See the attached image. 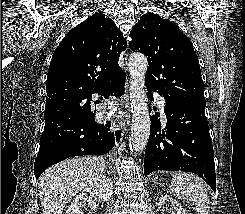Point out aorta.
I'll return each instance as SVG.
<instances>
[{
	"instance_id": "1",
	"label": "aorta",
	"mask_w": 245,
	"mask_h": 214,
	"mask_svg": "<svg viewBox=\"0 0 245 214\" xmlns=\"http://www.w3.org/2000/svg\"><path fill=\"white\" fill-rule=\"evenodd\" d=\"M147 59L141 53H133L129 59L130 101L132 112L129 147L132 154L143 151L150 134V116L145 91Z\"/></svg>"
}]
</instances>
